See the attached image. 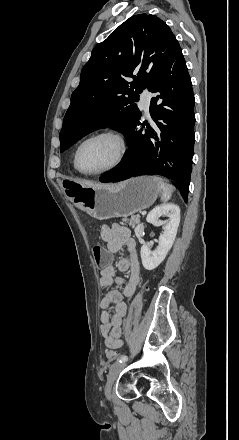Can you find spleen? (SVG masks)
<instances>
[{"mask_svg":"<svg viewBox=\"0 0 239 440\" xmlns=\"http://www.w3.org/2000/svg\"><path fill=\"white\" fill-rule=\"evenodd\" d=\"M153 178H155L156 182H158L162 190V202H168V200H170L172 196V192H174L175 190L174 186H170V184H165L162 178H156V176H153Z\"/></svg>","mask_w":239,"mask_h":440,"instance_id":"1","label":"spleen"}]
</instances>
